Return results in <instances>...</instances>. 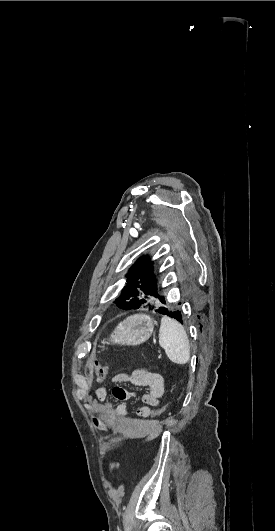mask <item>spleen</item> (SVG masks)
I'll return each instance as SVG.
<instances>
[{
	"label": "spleen",
	"instance_id": "obj_1",
	"mask_svg": "<svg viewBox=\"0 0 275 531\" xmlns=\"http://www.w3.org/2000/svg\"><path fill=\"white\" fill-rule=\"evenodd\" d=\"M159 345L168 359L176 365H186L190 359V343L187 333L176 319L162 317L159 329Z\"/></svg>",
	"mask_w": 275,
	"mask_h": 531
}]
</instances>
